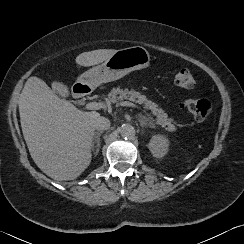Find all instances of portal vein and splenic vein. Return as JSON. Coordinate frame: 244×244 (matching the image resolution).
Here are the masks:
<instances>
[{"instance_id": "18ae733b", "label": "portal vein and splenic vein", "mask_w": 244, "mask_h": 244, "mask_svg": "<svg viewBox=\"0 0 244 244\" xmlns=\"http://www.w3.org/2000/svg\"><path fill=\"white\" fill-rule=\"evenodd\" d=\"M120 105L123 106V107L124 106H129V107H134V108L141 109L138 105H136V104H134L132 102H129V101L121 102ZM101 108H103V105L101 103H98V102H89L85 106V109H87V110H99ZM145 113H146V115H148L152 119V117L150 116L149 113H147V112H145Z\"/></svg>"}]
</instances>
